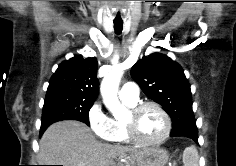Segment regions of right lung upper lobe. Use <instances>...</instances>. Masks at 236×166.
Segmentation results:
<instances>
[{"mask_svg": "<svg viewBox=\"0 0 236 166\" xmlns=\"http://www.w3.org/2000/svg\"><path fill=\"white\" fill-rule=\"evenodd\" d=\"M97 59L74 56L63 61L51 77L46 97L65 96L95 101L98 96Z\"/></svg>", "mask_w": 236, "mask_h": 166, "instance_id": "cb5924a9", "label": "right lung upper lobe"}]
</instances>
